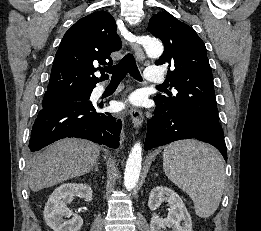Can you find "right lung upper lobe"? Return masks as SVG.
I'll return each instance as SVG.
<instances>
[{
  "mask_svg": "<svg viewBox=\"0 0 261 231\" xmlns=\"http://www.w3.org/2000/svg\"><path fill=\"white\" fill-rule=\"evenodd\" d=\"M114 18L104 11L77 21L65 34L56 52L46 93L92 91L108 78L94 76L95 65H112L110 54L121 48Z\"/></svg>",
  "mask_w": 261,
  "mask_h": 231,
  "instance_id": "1",
  "label": "right lung upper lobe"
}]
</instances>
